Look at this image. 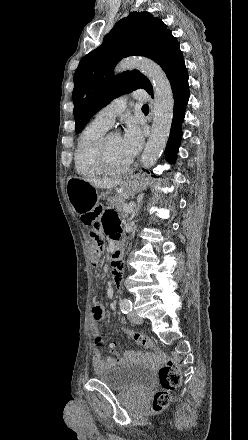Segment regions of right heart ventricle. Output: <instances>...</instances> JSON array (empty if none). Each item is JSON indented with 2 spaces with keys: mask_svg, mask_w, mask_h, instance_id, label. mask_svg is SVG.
<instances>
[{
  "mask_svg": "<svg viewBox=\"0 0 248 440\" xmlns=\"http://www.w3.org/2000/svg\"><path fill=\"white\" fill-rule=\"evenodd\" d=\"M108 128L92 121L82 131L74 154L75 170L79 175L89 178L104 174L96 159L97 148Z\"/></svg>",
  "mask_w": 248,
  "mask_h": 440,
  "instance_id": "e07e8e85",
  "label": "right heart ventricle"
}]
</instances>
